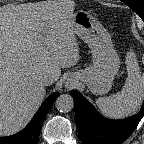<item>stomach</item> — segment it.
I'll return each mask as SVG.
<instances>
[{
  "label": "stomach",
  "instance_id": "stomach-1",
  "mask_svg": "<svg viewBox=\"0 0 144 144\" xmlns=\"http://www.w3.org/2000/svg\"><path fill=\"white\" fill-rule=\"evenodd\" d=\"M72 21L75 34L91 49L93 62L85 69L74 72L70 80L85 83L93 94L104 95L110 91L120 67V58L111 36L87 11L73 13Z\"/></svg>",
  "mask_w": 144,
  "mask_h": 144
}]
</instances>
